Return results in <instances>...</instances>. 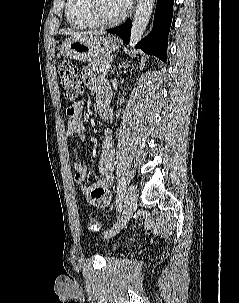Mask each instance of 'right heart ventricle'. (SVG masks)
I'll list each match as a JSON object with an SVG mask.
<instances>
[{
	"instance_id": "right-heart-ventricle-1",
	"label": "right heart ventricle",
	"mask_w": 239,
	"mask_h": 303,
	"mask_svg": "<svg viewBox=\"0 0 239 303\" xmlns=\"http://www.w3.org/2000/svg\"><path fill=\"white\" fill-rule=\"evenodd\" d=\"M86 2V0H66L65 14L73 28L87 29L96 25L86 11Z\"/></svg>"
}]
</instances>
